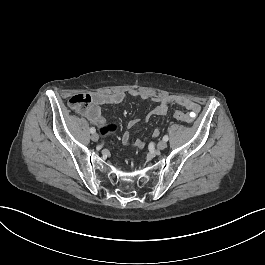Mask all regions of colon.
I'll return each mask as SVG.
<instances>
[{
    "label": "colon",
    "instance_id": "obj_1",
    "mask_svg": "<svg viewBox=\"0 0 265 265\" xmlns=\"http://www.w3.org/2000/svg\"><path fill=\"white\" fill-rule=\"evenodd\" d=\"M90 101H91V98L89 94L85 92H81L69 98L67 105L69 109L73 111H77L81 109L82 107L89 105ZM174 116L180 122L188 123L190 121L189 117L182 112L177 111L175 112ZM118 129H119V125L117 122L105 123L100 127V134L104 137H107V136L115 134L118 131Z\"/></svg>",
    "mask_w": 265,
    "mask_h": 265
}]
</instances>
